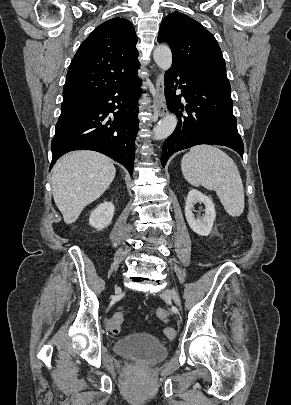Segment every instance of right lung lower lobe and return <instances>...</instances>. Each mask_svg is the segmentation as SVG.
Instances as JSON below:
<instances>
[{
	"label": "right lung lower lobe",
	"mask_w": 291,
	"mask_h": 405,
	"mask_svg": "<svg viewBox=\"0 0 291 405\" xmlns=\"http://www.w3.org/2000/svg\"><path fill=\"white\" fill-rule=\"evenodd\" d=\"M140 84L141 80L135 74L108 87L72 114L59 119L51 142L50 169L59 157L69 151L94 150L119 162L132 175ZM110 112L113 118L109 117Z\"/></svg>",
	"instance_id": "right-lung-lower-lobe-1"
}]
</instances>
